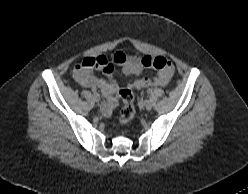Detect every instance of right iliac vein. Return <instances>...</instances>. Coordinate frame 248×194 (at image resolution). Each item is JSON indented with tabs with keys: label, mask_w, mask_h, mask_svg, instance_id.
<instances>
[{
	"label": "right iliac vein",
	"mask_w": 248,
	"mask_h": 194,
	"mask_svg": "<svg viewBox=\"0 0 248 194\" xmlns=\"http://www.w3.org/2000/svg\"><path fill=\"white\" fill-rule=\"evenodd\" d=\"M94 100H95V102H99L100 101V96L98 95V94H94Z\"/></svg>",
	"instance_id": "63e3f726"
}]
</instances>
